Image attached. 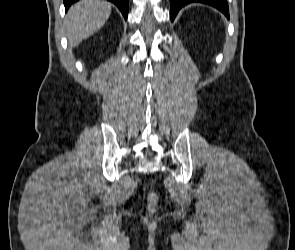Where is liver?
Masks as SVG:
<instances>
[{"mask_svg": "<svg viewBox=\"0 0 295 250\" xmlns=\"http://www.w3.org/2000/svg\"><path fill=\"white\" fill-rule=\"evenodd\" d=\"M111 14V4L100 0H81L72 5L66 19L69 45L78 46L100 30Z\"/></svg>", "mask_w": 295, "mask_h": 250, "instance_id": "liver-1", "label": "liver"}]
</instances>
